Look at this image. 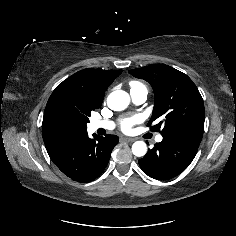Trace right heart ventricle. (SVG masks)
Listing matches in <instances>:
<instances>
[{"mask_svg":"<svg viewBox=\"0 0 236 236\" xmlns=\"http://www.w3.org/2000/svg\"><path fill=\"white\" fill-rule=\"evenodd\" d=\"M130 86H131V90H134V89H145L146 90V87L138 81H132L130 83Z\"/></svg>","mask_w":236,"mask_h":236,"instance_id":"obj_1","label":"right heart ventricle"}]
</instances>
